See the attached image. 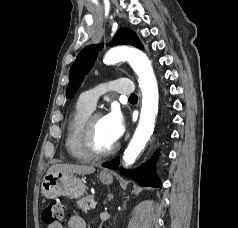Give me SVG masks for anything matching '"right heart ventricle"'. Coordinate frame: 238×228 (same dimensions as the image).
<instances>
[{
    "instance_id": "e07e8e85",
    "label": "right heart ventricle",
    "mask_w": 238,
    "mask_h": 228,
    "mask_svg": "<svg viewBox=\"0 0 238 228\" xmlns=\"http://www.w3.org/2000/svg\"><path fill=\"white\" fill-rule=\"evenodd\" d=\"M92 111L78 100L67 120L65 148L68 154L77 161L85 162L91 159L81 146V135L83 124Z\"/></svg>"
}]
</instances>
